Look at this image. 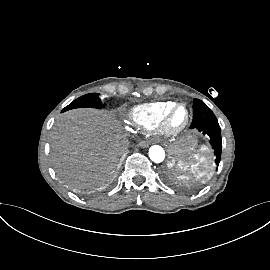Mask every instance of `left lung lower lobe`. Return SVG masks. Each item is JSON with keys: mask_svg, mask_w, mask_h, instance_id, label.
Wrapping results in <instances>:
<instances>
[{"mask_svg": "<svg viewBox=\"0 0 270 270\" xmlns=\"http://www.w3.org/2000/svg\"><path fill=\"white\" fill-rule=\"evenodd\" d=\"M194 128L203 132L204 135L209 136L211 146L214 149V154L216 156L215 163L218 166L222 151L221 129L218 121L204 122L196 126H191V129Z\"/></svg>", "mask_w": 270, "mask_h": 270, "instance_id": "obj_1", "label": "left lung lower lobe"}]
</instances>
